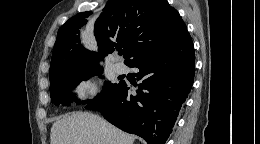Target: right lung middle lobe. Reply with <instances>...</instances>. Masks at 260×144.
<instances>
[{"mask_svg":"<svg viewBox=\"0 0 260 144\" xmlns=\"http://www.w3.org/2000/svg\"><path fill=\"white\" fill-rule=\"evenodd\" d=\"M103 73V68L100 66L94 67H86L81 69H74L56 73L50 78V96L52 102L55 105H59L60 103L63 105H70L73 100H75L78 104H86L90 102H94L95 100L105 96L114 88L117 87L119 83H111L110 81H106L104 83V87L102 92L98 94L94 99L80 101L71 96V89L73 86L78 85L82 80H87L91 76L98 75L100 78H103L101 74Z\"/></svg>","mask_w":260,"mask_h":144,"instance_id":"dd1d6c3e","label":"right lung middle lobe"}]
</instances>
